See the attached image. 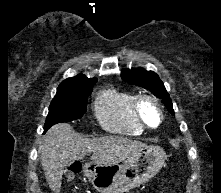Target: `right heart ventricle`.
Segmentation results:
<instances>
[{
	"label": "right heart ventricle",
	"instance_id": "obj_1",
	"mask_svg": "<svg viewBox=\"0 0 221 193\" xmlns=\"http://www.w3.org/2000/svg\"><path fill=\"white\" fill-rule=\"evenodd\" d=\"M135 96L125 90L109 88L102 91L94 103L100 125L107 131L138 136L144 128L134 117L132 104Z\"/></svg>",
	"mask_w": 221,
	"mask_h": 193
}]
</instances>
